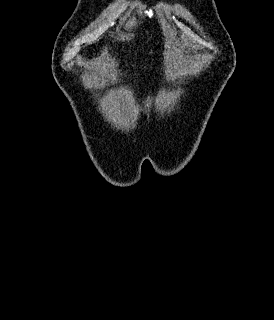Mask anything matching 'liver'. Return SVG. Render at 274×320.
<instances>
[{"label": "liver", "mask_w": 274, "mask_h": 320, "mask_svg": "<svg viewBox=\"0 0 274 320\" xmlns=\"http://www.w3.org/2000/svg\"><path fill=\"white\" fill-rule=\"evenodd\" d=\"M105 54H107V50H105Z\"/></svg>", "instance_id": "6515ba94"}]
</instances>
